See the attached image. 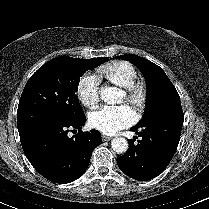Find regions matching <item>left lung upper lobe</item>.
Returning <instances> with one entry per match:
<instances>
[{"label": "left lung upper lobe", "mask_w": 209, "mask_h": 209, "mask_svg": "<svg viewBox=\"0 0 209 209\" xmlns=\"http://www.w3.org/2000/svg\"><path fill=\"white\" fill-rule=\"evenodd\" d=\"M117 58L133 63L146 78L148 105L137 125L164 116H183L179 94L161 67L138 55L126 54Z\"/></svg>", "instance_id": "5c2ea615"}]
</instances>
